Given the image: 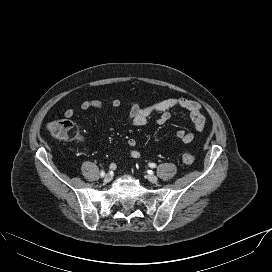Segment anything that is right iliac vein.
Segmentation results:
<instances>
[{
    "mask_svg": "<svg viewBox=\"0 0 272 272\" xmlns=\"http://www.w3.org/2000/svg\"><path fill=\"white\" fill-rule=\"evenodd\" d=\"M112 180V175L110 173L106 174L104 177V182L108 183Z\"/></svg>",
    "mask_w": 272,
    "mask_h": 272,
    "instance_id": "right-iliac-vein-1",
    "label": "right iliac vein"
}]
</instances>
